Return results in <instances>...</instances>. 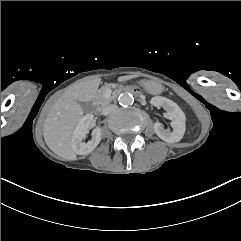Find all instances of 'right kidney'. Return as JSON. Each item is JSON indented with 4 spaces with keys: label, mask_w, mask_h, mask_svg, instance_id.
<instances>
[{
    "label": "right kidney",
    "mask_w": 241,
    "mask_h": 241,
    "mask_svg": "<svg viewBox=\"0 0 241 241\" xmlns=\"http://www.w3.org/2000/svg\"><path fill=\"white\" fill-rule=\"evenodd\" d=\"M93 120V114H86L80 119L73 131L71 146L73 151L78 155L91 153L101 141V128L96 127L92 131V139L87 143L82 142V139L89 132Z\"/></svg>",
    "instance_id": "ca27d5eb"
}]
</instances>
